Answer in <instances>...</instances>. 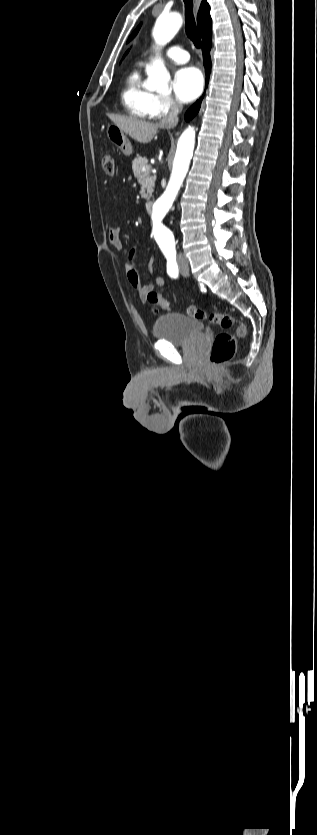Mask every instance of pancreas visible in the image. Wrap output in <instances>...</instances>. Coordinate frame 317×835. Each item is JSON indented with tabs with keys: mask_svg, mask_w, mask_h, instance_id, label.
<instances>
[{
	"mask_svg": "<svg viewBox=\"0 0 317 835\" xmlns=\"http://www.w3.org/2000/svg\"><path fill=\"white\" fill-rule=\"evenodd\" d=\"M143 167H148L147 171H142ZM132 170L134 176L138 179H141V191L140 195L144 199H149L152 196L155 186V176H150L151 166L148 164V160L145 157H137L132 162Z\"/></svg>",
	"mask_w": 317,
	"mask_h": 835,
	"instance_id": "1",
	"label": "pancreas"
}]
</instances>
